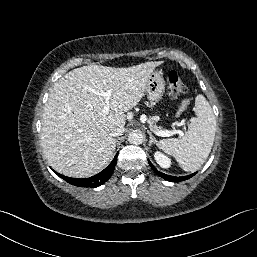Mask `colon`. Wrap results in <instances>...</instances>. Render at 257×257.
Listing matches in <instances>:
<instances>
[{
  "label": "colon",
  "mask_w": 257,
  "mask_h": 257,
  "mask_svg": "<svg viewBox=\"0 0 257 257\" xmlns=\"http://www.w3.org/2000/svg\"><path fill=\"white\" fill-rule=\"evenodd\" d=\"M167 82L169 94L172 97L177 98L187 93V87L182 81L177 71L172 70L168 73ZM188 106L189 100L184 99L178 107L177 114L182 115L187 110Z\"/></svg>",
  "instance_id": "5ec220e1"
}]
</instances>
